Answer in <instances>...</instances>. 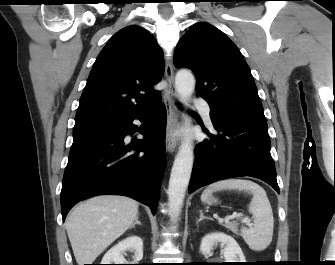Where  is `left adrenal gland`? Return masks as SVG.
<instances>
[{"label":"left adrenal gland","instance_id":"obj_1","mask_svg":"<svg viewBox=\"0 0 335 265\" xmlns=\"http://www.w3.org/2000/svg\"><path fill=\"white\" fill-rule=\"evenodd\" d=\"M199 212H200V218H199L198 222L202 221L203 219H211L209 217L204 216V213H203L202 210H199Z\"/></svg>","mask_w":335,"mask_h":265}]
</instances>
